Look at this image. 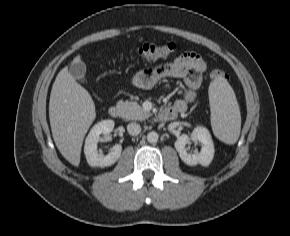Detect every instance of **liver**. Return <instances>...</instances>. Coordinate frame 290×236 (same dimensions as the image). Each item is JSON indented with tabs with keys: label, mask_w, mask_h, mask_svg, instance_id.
Segmentation results:
<instances>
[{
	"label": "liver",
	"mask_w": 290,
	"mask_h": 236,
	"mask_svg": "<svg viewBox=\"0 0 290 236\" xmlns=\"http://www.w3.org/2000/svg\"><path fill=\"white\" fill-rule=\"evenodd\" d=\"M81 57L74 58L78 63ZM96 117L95 104L88 91L64 67L52 86L49 119L54 142L63 157L79 166L84 137Z\"/></svg>",
	"instance_id": "obj_1"
}]
</instances>
